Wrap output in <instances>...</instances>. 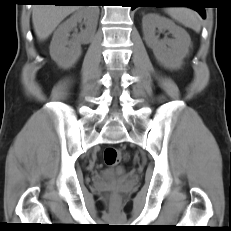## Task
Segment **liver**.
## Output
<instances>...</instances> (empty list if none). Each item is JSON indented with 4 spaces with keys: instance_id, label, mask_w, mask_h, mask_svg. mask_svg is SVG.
<instances>
[{
    "instance_id": "1",
    "label": "liver",
    "mask_w": 231,
    "mask_h": 231,
    "mask_svg": "<svg viewBox=\"0 0 231 231\" xmlns=\"http://www.w3.org/2000/svg\"><path fill=\"white\" fill-rule=\"evenodd\" d=\"M81 8L77 5H35L32 22L38 39L46 40L68 15Z\"/></svg>"
}]
</instances>
